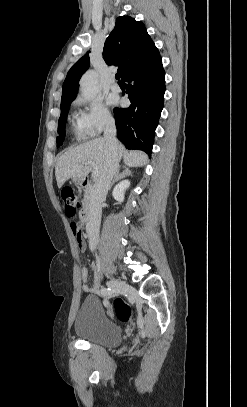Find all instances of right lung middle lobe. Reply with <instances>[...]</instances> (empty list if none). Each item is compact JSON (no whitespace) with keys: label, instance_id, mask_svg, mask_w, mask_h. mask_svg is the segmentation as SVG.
I'll use <instances>...</instances> for the list:
<instances>
[{"label":"right lung middle lobe","instance_id":"right-lung-middle-lobe-1","mask_svg":"<svg viewBox=\"0 0 247 407\" xmlns=\"http://www.w3.org/2000/svg\"><path fill=\"white\" fill-rule=\"evenodd\" d=\"M72 101L73 100L66 101L61 104V115H60L59 122H58V134H59V136L57 137V146L58 147L62 145V142L65 137L66 119H67L68 110H69V107H70V104Z\"/></svg>","mask_w":247,"mask_h":407}]
</instances>
